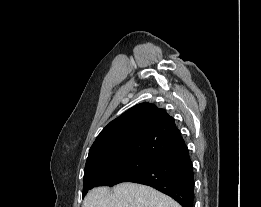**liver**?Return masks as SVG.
<instances>
[{
    "mask_svg": "<svg viewBox=\"0 0 261 207\" xmlns=\"http://www.w3.org/2000/svg\"><path fill=\"white\" fill-rule=\"evenodd\" d=\"M82 207H181L156 189L131 182L108 187H96L85 196Z\"/></svg>",
    "mask_w": 261,
    "mask_h": 207,
    "instance_id": "1",
    "label": "liver"
}]
</instances>
